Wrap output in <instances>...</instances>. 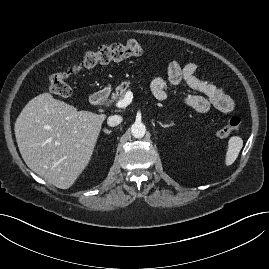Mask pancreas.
Here are the masks:
<instances>
[{
    "mask_svg": "<svg viewBox=\"0 0 269 269\" xmlns=\"http://www.w3.org/2000/svg\"><path fill=\"white\" fill-rule=\"evenodd\" d=\"M129 84H130L129 82L125 81V82H122L119 86H117L115 89V93L112 94L111 102L122 99L125 93L127 92Z\"/></svg>",
    "mask_w": 269,
    "mask_h": 269,
    "instance_id": "1",
    "label": "pancreas"
}]
</instances>
